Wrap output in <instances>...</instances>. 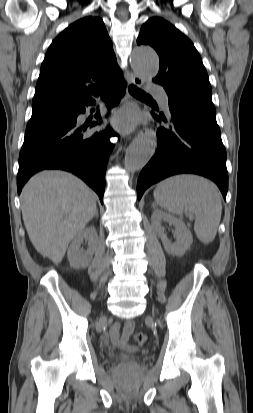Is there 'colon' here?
<instances>
[{"mask_svg": "<svg viewBox=\"0 0 253 413\" xmlns=\"http://www.w3.org/2000/svg\"><path fill=\"white\" fill-rule=\"evenodd\" d=\"M134 340L138 344H144L147 341V335L142 332H137L134 334Z\"/></svg>", "mask_w": 253, "mask_h": 413, "instance_id": "1", "label": "colon"}]
</instances>
